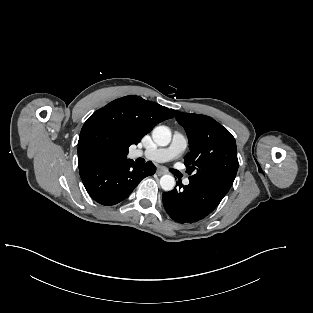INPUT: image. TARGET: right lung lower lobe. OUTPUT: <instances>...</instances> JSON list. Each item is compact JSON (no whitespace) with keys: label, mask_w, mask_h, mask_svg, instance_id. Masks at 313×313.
Returning a JSON list of instances; mask_svg holds the SVG:
<instances>
[{"label":"right lung lower lobe","mask_w":313,"mask_h":313,"mask_svg":"<svg viewBox=\"0 0 313 313\" xmlns=\"http://www.w3.org/2000/svg\"><path fill=\"white\" fill-rule=\"evenodd\" d=\"M155 171L152 162L138 165L132 160L94 163L79 168L88 194L96 202L106 206L126 199L142 179L153 175Z\"/></svg>","instance_id":"98d812e1"}]
</instances>
